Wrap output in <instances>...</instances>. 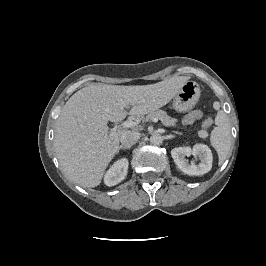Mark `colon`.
Instances as JSON below:
<instances>
[{
    "instance_id": "1",
    "label": "colon",
    "mask_w": 266,
    "mask_h": 266,
    "mask_svg": "<svg viewBox=\"0 0 266 266\" xmlns=\"http://www.w3.org/2000/svg\"><path fill=\"white\" fill-rule=\"evenodd\" d=\"M201 117H202V112L201 111H198V110L192 111L189 114H187V116L185 117V123H192L195 120L200 119ZM211 123H212L211 119L210 118H206L203 121V127L204 128H208L211 125Z\"/></svg>"
}]
</instances>
